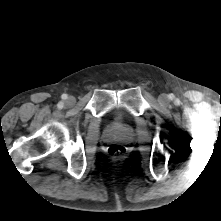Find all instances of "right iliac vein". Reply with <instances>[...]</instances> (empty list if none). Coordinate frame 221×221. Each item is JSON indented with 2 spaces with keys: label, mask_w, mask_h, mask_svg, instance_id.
I'll return each instance as SVG.
<instances>
[{
  "label": "right iliac vein",
  "mask_w": 221,
  "mask_h": 221,
  "mask_svg": "<svg viewBox=\"0 0 221 221\" xmlns=\"http://www.w3.org/2000/svg\"><path fill=\"white\" fill-rule=\"evenodd\" d=\"M66 103L72 105L75 103V98L73 96H69L66 100Z\"/></svg>",
  "instance_id": "obj_1"
}]
</instances>
